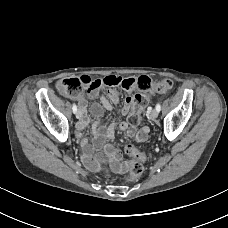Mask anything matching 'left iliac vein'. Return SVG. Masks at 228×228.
<instances>
[{
  "instance_id": "left-iliac-vein-1",
  "label": "left iliac vein",
  "mask_w": 228,
  "mask_h": 228,
  "mask_svg": "<svg viewBox=\"0 0 228 228\" xmlns=\"http://www.w3.org/2000/svg\"><path fill=\"white\" fill-rule=\"evenodd\" d=\"M159 112L156 109H153L150 116L152 119H156L158 117Z\"/></svg>"
}]
</instances>
